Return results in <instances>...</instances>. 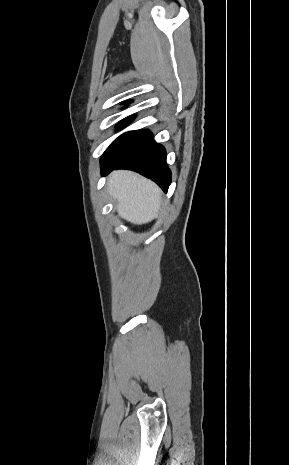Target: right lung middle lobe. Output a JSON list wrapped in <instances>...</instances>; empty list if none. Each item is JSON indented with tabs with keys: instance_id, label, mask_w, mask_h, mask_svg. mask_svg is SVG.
Returning <instances> with one entry per match:
<instances>
[{
	"instance_id": "dd1d6c3e",
	"label": "right lung middle lobe",
	"mask_w": 289,
	"mask_h": 465,
	"mask_svg": "<svg viewBox=\"0 0 289 465\" xmlns=\"http://www.w3.org/2000/svg\"><path fill=\"white\" fill-rule=\"evenodd\" d=\"M133 118L134 116L125 118L120 122L119 126H125L131 122ZM148 132V130H137L122 134L115 141H113V143L103 153L101 162H115L122 159L142 140V138Z\"/></svg>"
}]
</instances>
